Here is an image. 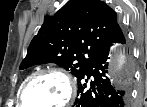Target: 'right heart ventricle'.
Here are the masks:
<instances>
[{
  "label": "right heart ventricle",
  "instance_id": "right-heart-ventricle-1",
  "mask_svg": "<svg viewBox=\"0 0 147 107\" xmlns=\"http://www.w3.org/2000/svg\"><path fill=\"white\" fill-rule=\"evenodd\" d=\"M27 77L22 81L21 85H20V88L23 86V84L25 83Z\"/></svg>",
  "mask_w": 147,
  "mask_h": 107
}]
</instances>
